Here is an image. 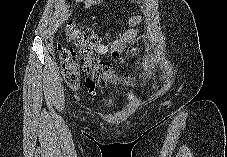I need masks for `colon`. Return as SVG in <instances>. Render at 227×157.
<instances>
[{
  "label": "colon",
  "mask_w": 227,
  "mask_h": 157,
  "mask_svg": "<svg viewBox=\"0 0 227 157\" xmlns=\"http://www.w3.org/2000/svg\"><path fill=\"white\" fill-rule=\"evenodd\" d=\"M65 35L79 48V52L63 45H58L57 48L62 75L70 87L80 86L81 72L89 74L86 83L94 85L119 84L125 81V78L119 77L111 70L108 63L98 59L101 38L94 31L77 29L72 23H67Z\"/></svg>",
  "instance_id": "5ec220e1"
}]
</instances>
